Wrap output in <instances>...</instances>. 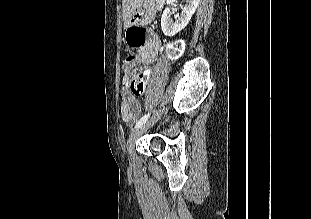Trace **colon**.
Returning <instances> with one entry per match:
<instances>
[{"instance_id": "obj_1", "label": "colon", "mask_w": 311, "mask_h": 219, "mask_svg": "<svg viewBox=\"0 0 311 219\" xmlns=\"http://www.w3.org/2000/svg\"><path fill=\"white\" fill-rule=\"evenodd\" d=\"M145 31L142 28L133 27L132 34L129 38V44L138 45L144 41ZM183 51V43L181 41L174 42L168 48V54L171 57H178ZM142 62L135 55H129L123 60V69L127 74H137L131 82V91L133 94H142L145 91L147 77L141 73Z\"/></svg>"}]
</instances>
